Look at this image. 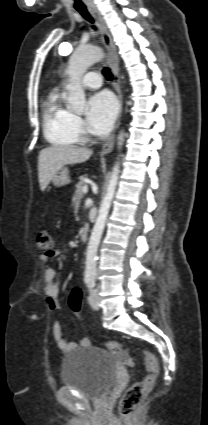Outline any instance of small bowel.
<instances>
[{
	"instance_id": "small-bowel-1",
	"label": "small bowel",
	"mask_w": 208,
	"mask_h": 425,
	"mask_svg": "<svg viewBox=\"0 0 208 425\" xmlns=\"http://www.w3.org/2000/svg\"><path fill=\"white\" fill-rule=\"evenodd\" d=\"M57 252H53L51 255L42 254L40 260L42 262H48L51 257L57 256ZM44 293L46 296V303L51 311L60 310V303L58 301L59 285L56 278V271L53 268H47L44 272ZM53 338L59 349L63 352H69L74 349L77 344L67 342L64 338L61 324L58 319L53 322ZM89 344V340L84 338L80 341L79 345L85 346Z\"/></svg>"
}]
</instances>
